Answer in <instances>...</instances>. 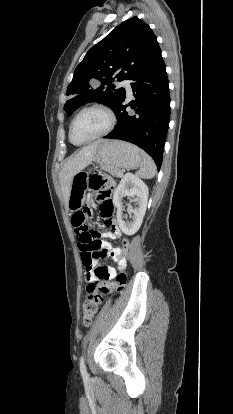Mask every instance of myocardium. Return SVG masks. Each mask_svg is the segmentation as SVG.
<instances>
[{
    "label": "myocardium",
    "instance_id": "obj_1",
    "mask_svg": "<svg viewBox=\"0 0 233 414\" xmlns=\"http://www.w3.org/2000/svg\"><path fill=\"white\" fill-rule=\"evenodd\" d=\"M90 110H97V111L101 112L102 114H104L105 117H106V119H107V125H106V127L101 132H99L98 134L94 135L93 137H91V138H89V139H87L85 141H82V142H75L72 139L73 126H74L76 120L78 119V117L81 114H83L84 112L90 111ZM116 123H117L116 116H115L114 112L110 108H108V107H106L104 105H101V104H91V105L85 106L82 109H80L75 114V116L73 117V119L71 120V123H70V126H69V139L75 145H84V144L91 143V142H93L95 140H98V139H100V138L108 135L110 132H112V130L116 126Z\"/></svg>",
    "mask_w": 233,
    "mask_h": 414
}]
</instances>
